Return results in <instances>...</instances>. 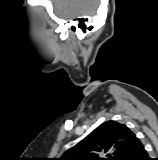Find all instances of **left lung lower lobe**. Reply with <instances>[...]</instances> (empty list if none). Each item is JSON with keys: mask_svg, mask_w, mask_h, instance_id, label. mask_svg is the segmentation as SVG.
Wrapping results in <instances>:
<instances>
[{"mask_svg": "<svg viewBox=\"0 0 158 160\" xmlns=\"http://www.w3.org/2000/svg\"><path fill=\"white\" fill-rule=\"evenodd\" d=\"M126 160H150L143 144L136 137Z\"/></svg>", "mask_w": 158, "mask_h": 160, "instance_id": "obj_1", "label": "left lung lower lobe"}]
</instances>
